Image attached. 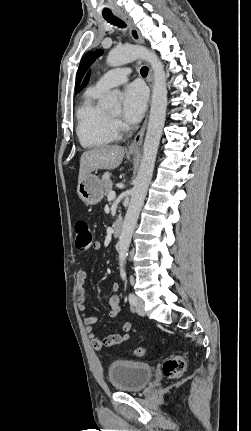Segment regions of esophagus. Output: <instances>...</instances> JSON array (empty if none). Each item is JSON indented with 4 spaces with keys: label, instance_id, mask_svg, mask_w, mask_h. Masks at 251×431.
<instances>
[{
    "label": "esophagus",
    "instance_id": "esophagus-1",
    "mask_svg": "<svg viewBox=\"0 0 251 431\" xmlns=\"http://www.w3.org/2000/svg\"><path fill=\"white\" fill-rule=\"evenodd\" d=\"M117 14L128 25L129 33H130L132 39L136 43L142 44L143 43V38H142L139 30L137 29V27L135 26V24L131 20V18L128 17L125 13H123L121 11H118ZM148 84H149L150 88L152 89V87H153V72H152V69L150 67H149V73H148ZM146 125H147V118L145 119L142 128L140 129V131L135 136L134 140L129 145L128 149L130 151H135V150H138L140 148V146L142 144V141H143L144 133H145V130H146Z\"/></svg>",
    "mask_w": 251,
    "mask_h": 431
}]
</instances>
